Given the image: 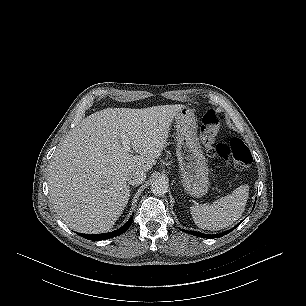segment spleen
<instances>
[{"label": "spleen", "mask_w": 306, "mask_h": 306, "mask_svg": "<svg viewBox=\"0 0 306 306\" xmlns=\"http://www.w3.org/2000/svg\"><path fill=\"white\" fill-rule=\"evenodd\" d=\"M249 186L241 185L230 195L222 197L211 205L190 207L194 223L202 229L221 230L237 221L245 210L249 196Z\"/></svg>", "instance_id": "3e777b00"}]
</instances>
